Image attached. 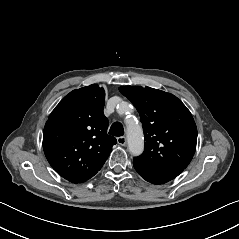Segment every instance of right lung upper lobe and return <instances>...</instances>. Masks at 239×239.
Returning <instances> with one entry per match:
<instances>
[{
  "label": "right lung upper lobe",
  "instance_id": "1",
  "mask_svg": "<svg viewBox=\"0 0 239 239\" xmlns=\"http://www.w3.org/2000/svg\"><path fill=\"white\" fill-rule=\"evenodd\" d=\"M104 103L105 92L96 84L74 90L59 102L45 124V156L68 181L93 177L117 143L107 134Z\"/></svg>",
  "mask_w": 239,
  "mask_h": 239
}]
</instances>
